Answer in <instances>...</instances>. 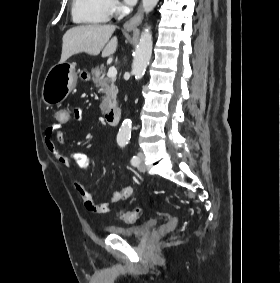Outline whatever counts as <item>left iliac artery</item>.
Here are the masks:
<instances>
[{"label": "left iliac artery", "mask_w": 280, "mask_h": 283, "mask_svg": "<svg viewBox=\"0 0 280 283\" xmlns=\"http://www.w3.org/2000/svg\"><path fill=\"white\" fill-rule=\"evenodd\" d=\"M121 146L124 147L125 144H121ZM138 162H139L138 157H137V156H133L132 159H131V164H132L133 166H137Z\"/></svg>", "instance_id": "1"}]
</instances>
